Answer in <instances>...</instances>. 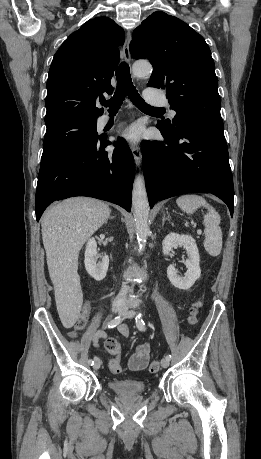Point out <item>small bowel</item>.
Masks as SVG:
<instances>
[{"label":"small bowel","mask_w":261,"mask_h":459,"mask_svg":"<svg viewBox=\"0 0 261 459\" xmlns=\"http://www.w3.org/2000/svg\"><path fill=\"white\" fill-rule=\"evenodd\" d=\"M92 307V302L90 299L85 300L82 308H81V315L88 317ZM119 332L127 336L129 331L128 327L125 324H121L118 327ZM72 336H76V333L73 332ZM107 334L104 330H98L93 336V345L96 348H99V340L105 339ZM149 354H150V346L148 343L140 344L136 347L134 353L131 355L129 359V367L133 371H141L144 370L149 362Z\"/></svg>","instance_id":"obj_1"}]
</instances>
